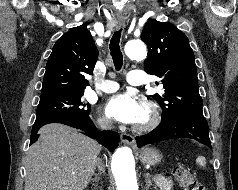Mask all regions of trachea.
<instances>
[{
	"instance_id": "trachea-1",
	"label": "trachea",
	"mask_w": 238,
	"mask_h": 190,
	"mask_svg": "<svg viewBox=\"0 0 238 190\" xmlns=\"http://www.w3.org/2000/svg\"><path fill=\"white\" fill-rule=\"evenodd\" d=\"M121 32L122 29L116 31L110 41V51H111V56L113 59V63L115 65L116 70H120L123 64V55L120 50V37H121Z\"/></svg>"
}]
</instances>
